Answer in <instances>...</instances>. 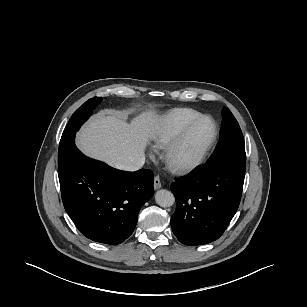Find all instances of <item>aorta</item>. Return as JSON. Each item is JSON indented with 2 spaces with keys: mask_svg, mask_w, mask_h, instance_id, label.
I'll list each match as a JSON object with an SVG mask.
<instances>
[{
  "mask_svg": "<svg viewBox=\"0 0 307 307\" xmlns=\"http://www.w3.org/2000/svg\"><path fill=\"white\" fill-rule=\"evenodd\" d=\"M156 203L161 207H170L175 202V197L171 191L161 189L155 194Z\"/></svg>",
  "mask_w": 307,
  "mask_h": 307,
  "instance_id": "obj_1",
  "label": "aorta"
}]
</instances>
